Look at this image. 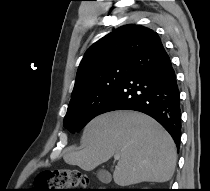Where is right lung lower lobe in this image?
Returning <instances> with one entry per match:
<instances>
[{"instance_id": "98d812e1", "label": "right lung lower lobe", "mask_w": 210, "mask_h": 191, "mask_svg": "<svg viewBox=\"0 0 210 191\" xmlns=\"http://www.w3.org/2000/svg\"><path fill=\"white\" fill-rule=\"evenodd\" d=\"M136 110L157 120L180 146V93L171 60L156 33L135 55L99 111Z\"/></svg>"}]
</instances>
